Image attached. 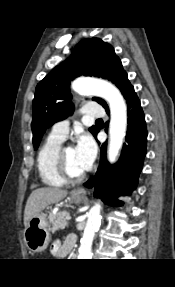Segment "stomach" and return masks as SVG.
Listing matches in <instances>:
<instances>
[{
  "mask_svg": "<svg viewBox=\"0 0 175 287\" xmlns=\"http://www.w3.org/2000/svg\"><path fill=\"white\" fill-rule=\"evenodd\" d=\"M83 198V196L74 192L71 194V200L76 204H79ZM23 236L30 252L39 253L44 251L51 240V231L46 216L42 213L32 216L25 227Z\"/></svg>",
  "mask_w": 175,
  "mask_h": 287,
  "instance_id": "1",
  "label": "stomach"
}]
</instances>
